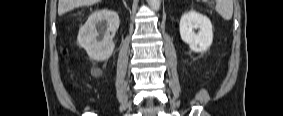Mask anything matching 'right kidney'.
I'll return each mask as SVG.
<instances>
[{
	"label": "right kidney",
	"instance_id": "right-kidney-1",
	"mask_svg": "<svg viewBox=\"0 0 283 116\" xmlns=\"http://www.w3.org/2000/svg\"><path fill=\"white\" fill-rule=\"evenodd\" d=\"M119 16L110 10L92 13L80 28L77 41L88 56L96 61H104L111 57L115 44L114 35L119 28Z\"/></svg>",
	"mask_w": 283,
	"mask_h": 116
}]
</instances>
